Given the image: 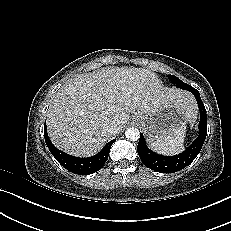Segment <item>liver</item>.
I'll return each mask as SVG.
<instances>
[{
  "label": "liver",
  "instance_id": "liver-1",
  "mask_svg": "<svg viewBox=\"0 0 231 231\" xmlns=\"http://www.w3.org/2000/svg\"><path fill=\"white\" fill-rule=\"evenodd\" d=\"M167 103L182 105L188 119L195 109L188 92L167 90L148 69L108 67L69 80L53 96L47 111L52 143L64 152L87 157L99 152L128 122ZM115 123L117 133L107 127Z\"/></svg>",
  "mask_w": 231,
  "mask_h": 231
}]
</instances>
